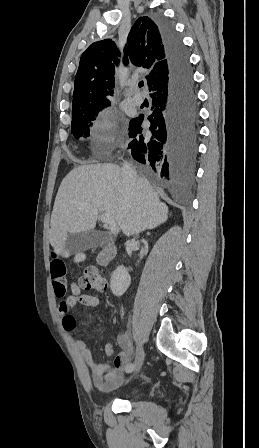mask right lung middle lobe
<instances>
[{
    "label": "right lung middle lobe",
    "mask_w": 259,
    "mask_h": 448,
    "mask_svg": "<svg viewBox=\"0 0 259 448\" xmlns=\"http://www.w3.org/2000/svg\"><path fill=\"white\" fill-rule=\"evenodd\" d=\"M110 105V104H109ZM109 105L91 107L79 111L72 112L71 133L75 138L88 137L89 126L92 125L91 121L95 120L98 112Z\"/></svg>",
    "instance_id": "right-lung-middle-lobe-1"
}]
</instances>
